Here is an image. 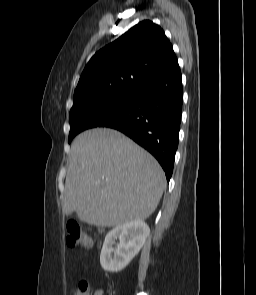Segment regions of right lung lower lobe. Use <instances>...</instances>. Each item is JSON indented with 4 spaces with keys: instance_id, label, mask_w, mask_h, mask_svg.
<instances>
[{
    "instance_id": "1",
    "label": "right lung lower lobe",
    "mask_w": 256,
    "mask_h": 295,
    "mask_svg": "<svg viewBox=\"0 0 256 295\" xmlns=\"http://www.w3.org/2000/svg\"><path fill=\"white\" fill-rule=\"evenodd\" d=\"M135 94L132 106L95 127L113 128L132 138L154 155L169 181L178 146L183 101L177 58H173Z\"/></svg>"
}]
</instances>
